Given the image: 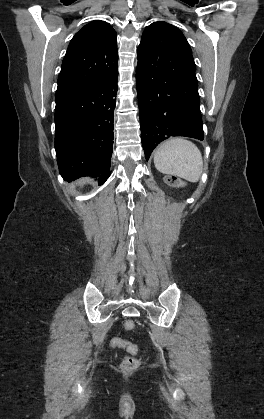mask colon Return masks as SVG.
<instances>
[{
  "mask_svg": "<svg viewBox=\"0 0 264 419\" xmlns=\"http://www.w3.org/2000/svg\"><path fill=\"white\" fill-rule=\"evenodd\" d=\"M169 183L174 186H180L182 184L181 180L177 177H171ZM136 327L134 321L129 320L125 323V328L127 330H133ZM115 347L125 348L131 355L124 358L121 363V368L125 372H130L135 370L139 365V360L135 357L138 353V347L124 339L118 338L115 343Z\"/></svg>",
  "mask_w": 264,
  "mask_h": 419,
  "instance_id": "1",
  "label": "colon"
}]
</instances>
